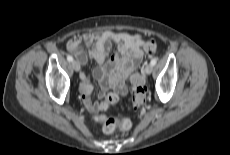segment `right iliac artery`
Here are the masks:
<instances>
[{"mask_svg":"<svg viewBox=\"0 0 230 155\" xmlns=\"http://www.w3.org/2000/svg\"><path fill=\"white\" fill-rule=\"evenodd\" d=\"M67 60H68L69 62H72V61H73V57L70 56V55H68V56H67Z\"/></svg>","mask_w":230,"mask_h":155,"instance_id":"obj_1","label":"right iliac artery"}]
</instances>
